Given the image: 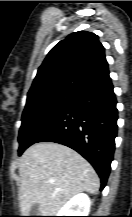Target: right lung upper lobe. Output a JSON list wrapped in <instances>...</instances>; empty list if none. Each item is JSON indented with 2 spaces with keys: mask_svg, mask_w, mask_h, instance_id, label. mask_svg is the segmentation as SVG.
<instances>
[{
  "mask_svg": "<svg viewBox=\"0 0 132 217\" xmlns=\"http://www.w3.org/2000/svg\"><path fill=\"white\" fill-rule=\"evenodd\" d=\"M110 80L104 47L98 36L78 31L50 50L38 69L27 98L57 91L79 95Z\"/></svg>",
  "mask_w": 132,
  "mask_h": 217,
  "instance_id": "obj_1",
  "label": "right lung upper lobe"
}]
</instances>
